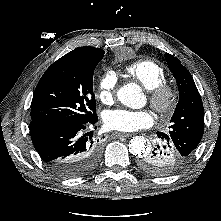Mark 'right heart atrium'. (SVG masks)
I'll list each match as a JSON object with an SVG mask.
<instances>
[{"instance_id": "d8ad5b80", "label": "right heart atrium", "mask_w": 221, "mask_h": 221, "mask_svg": "<svg viewBox=\"0 0 221 221\" xmlns=\"http://www.w3.org/2000/svg\"><path fill=\"white\" fill-rule=\"evenodd\" d=\"M116 82V76L111 71H106L99 77L96 85V97L100 102L109 104L113 100Z\"/></svg>"}]
</instances>
